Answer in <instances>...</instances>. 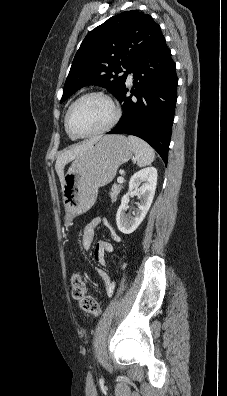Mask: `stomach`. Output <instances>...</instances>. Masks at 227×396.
Listing matches in <instances>:
<instances>
[{
    "label": "stomach",
    "instance_id": "stomach-1",
    "mask_svg": "<svg viewBox=\"0 0 227 396\" xmlns=\"http://www.w3.org/2000/svg\"><path fill=\"white\" fill-rule=\"evenodd\" d=\"M132 152V145L125 136L108 135L74 159L64 176L62 188L66 226L74 216L94 205L98 189L114 179L119 166L132 157Z\"/></svg>",
    "mask_w": 227,
    "mask_h": 396
}]
</instances>
